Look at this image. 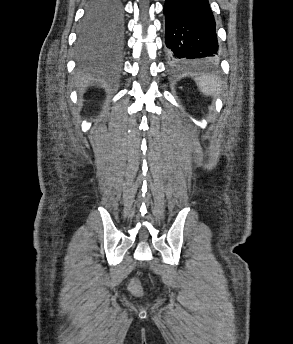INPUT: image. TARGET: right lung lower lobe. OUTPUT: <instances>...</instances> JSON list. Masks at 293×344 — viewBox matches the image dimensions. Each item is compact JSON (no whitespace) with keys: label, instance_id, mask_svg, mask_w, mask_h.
<instances>
[{"label":"right lung lower lobe","instance_id":"1","mask_svg":"<svg viewBox=\"0 0 293 344\" xmlns=\"http://www.w3.org/2000/svg\"><path fill=\"white\" fill-rule=\"evenodd\" d=\"M121 3V0H120ZM121 8H122V4H121ZM122 14H123V9H122ZM122 32H123V19H122V28L121 31L118 34H115L113 37L114 42L112 45H120L121 41H122Z\"/></svg>","mask_w":293,"mask_h":344}]
</instances>
